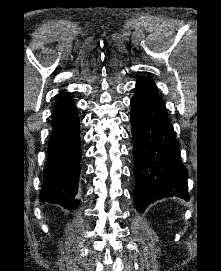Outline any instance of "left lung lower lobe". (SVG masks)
<instances>
[{"mask_svg":"<svg viewBox=\"0 0 221 271\" xmlns=\"http://www.w3.org/2000/svg\"><path fill=\"white\" fill-rule=\"evenodd\" d=\"M131 107L136 209L173 196L189 201L187 169L157 89L138 81Z\"/></svg>","mask_w":221,"mask_h":271,"instance_id":"obj_1","label":"left lung lower lobe"}]
</instances>
